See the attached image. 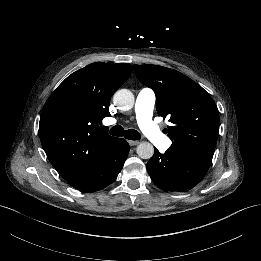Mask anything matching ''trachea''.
Wrapping results in <instances>:
<instances>
[{
  "instance_id": "trachea-1",
  "label": "trachea",
  "mask_w": 261,
  "mask_h": 261,
  "mask_svg": "<svg viewBox=\"0 0 261 261\" xmlns=\"http://www.w3.org/2000/svg\"><path fill=\"white\" fill-rule=\"evenodd\" d=\"M109 133L113 136H122L124 135V137L126 139H129V140H139L142 138V136L140 135L139 132H137L136 130L134 129H129L127 131H124L123 127L120 126V125H116V126H113Z\"/></svg>"
}]
</instances>
